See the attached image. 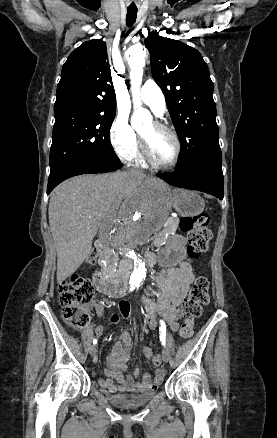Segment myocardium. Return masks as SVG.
I'll list each match as a JSON object with an SVG mask.
<instances>
[{
    "instance_id": "f54148a6",
    "label": "myocardium",
    "mask_w": 277,
    "mask_h": 438,
    "mask_svg": "<svg viewBox=\"0 0 277 438\" xmlns=\"http://www.w3.org/2000/svg\"><path fill=\"white\" fill-rule=\"evenodd\" d=\"M153 125L157 129L170 135L172 137V139L174 140V143H175L174 157L169 163L160 162L154 156L149 140L147 138L143 137L142 135H139L142 154H143L144 158L147 160V162H149L151 165H153L155 167L164 168V169L172 168L178 163V161L180 159L181 149H182L180 138H179L178 134L176 133V131H174L172 128H170L169 126L165 125L164 123H162L160 121H153Z\"/></svg>"
}]
</instances>
